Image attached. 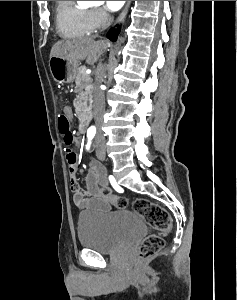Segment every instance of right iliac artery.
I'll use <instances>...</instances> for the list:
<instances>
[{
	"instance_id": "1",
	"label": "right iliac artery",
	"mask_w": 237,
	"mask_h": 300,
	"mask_svg": "<svg viewBox=\"0 0 237 300\" xmlns=\"http://www.w3.org/2000/svg\"><path fill=\"white\" fill-rule=\"evenodd\" d=\"M95 133L93 131L88 130L87 131V138H88V143L86 145V149L89 150L90 145H91V140L94 137Z\"/></svg>"
}]
</instances>
